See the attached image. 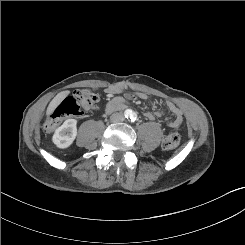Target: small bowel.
<instances>
[{
	"label": "small bowel",
	"mask_w": 245,
	"mask_h": 245,
	"mask_svg": "<svg viewBox=\"0 0 245 245\" xmlns=\"http://www.w3.org/2000/svg\"><path fill=\"white\" fill-rule=\"evenodd\" d=\"M127 89L126 86L122 85H112L106 88V93L110 96H112V99L108 102L106 111L108 113L119 110L124 107V99L117 94L120 93L122 90ZM126 98L129 100H136L137 98L140 99H146L147 95L144 93H133V92H128L126 94ZM167 107L169 110L174 114L175 118H167L166 119V126L168 128H178L182 122H183V111L176 106L173 102H167ZM162 110L161 109H156L153 112H146L145 117L149 120H153L156 115H161Z\"/></svg>",
	"instance_id": "c3829d8e"
}]
</instances>
